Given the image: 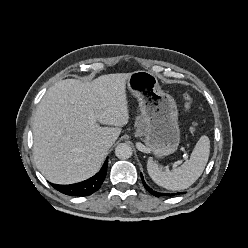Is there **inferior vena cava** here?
<instances>
[{
    "mask_svg": "<svg viewBox=\"0 0 248 248\" xmlns=\"http://www.w3.org/2000/svg\"><path fill=\"white\" fill-rule=\"evenodd\" d=\"M113 144V141L111 139H105L101 142V145L105 148H110Z\"/></svg>",
    "mask_w": 248,
    "mask_h": 248,
    "instance_id": "602c4592",
    "label": "inferior vena cava"
}]
</instances>
